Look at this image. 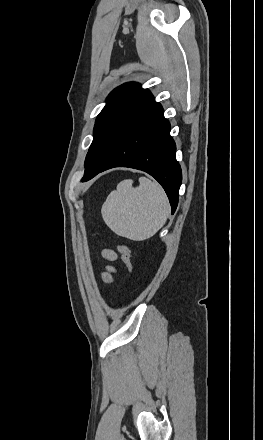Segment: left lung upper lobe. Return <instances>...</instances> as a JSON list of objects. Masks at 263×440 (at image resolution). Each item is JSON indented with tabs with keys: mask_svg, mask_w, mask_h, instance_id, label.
Wrapping results in <instances>:
<instances>
[{
	"mask_svg": "<svg viewBox=\"0 0 263 440\" xmlns=\"http://www.w3.org/2000/svg\"><path fill=\"white\" fill-rule=\"evenodd\" d=\"M152 97L148 89H142L135 82L125 83L109 94L95 122L82 179L104 167L134 116Z\"/></svg>",
	"mask_w": 263,
	"mask_h": 440,
	"instance_id": "left-lung-upper-lobe-1",
	"label": "left lung upper lobe"
}]
</instances>
